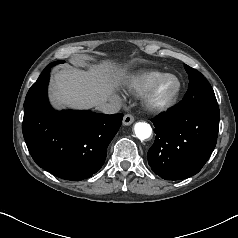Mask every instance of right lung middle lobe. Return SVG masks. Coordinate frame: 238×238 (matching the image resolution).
<instances>
[{"mask_svg":"<svg viewBox=\"0 0 238 238\" xmlns=\"http://www.w3.org/2000/svg\"><path fill=\"white\" fill-rule=\"evenodd\" d=\"M59 63H64V61H56V62H53L51 64L54 66V65L59 64Z\"/></svg>","mask_w":238,"mask_h":238,"instance_id":"dd1d6c3e","label":"right lung middle lobe"}]
</instances>
